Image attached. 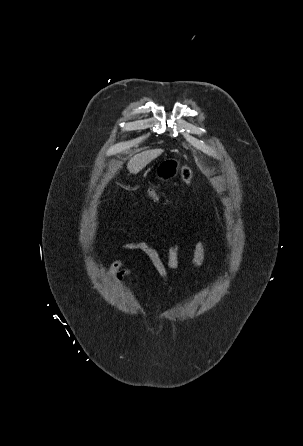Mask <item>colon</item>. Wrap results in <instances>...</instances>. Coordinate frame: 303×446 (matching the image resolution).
<instances>
[{"label":"colon","instance_id":"1","mask_svg":"<svg viewBox=\"0 0 303 446\" xmlns=\"http://www.w3.org/2000/svg\"><path fill=\"white\" fill-rule=\"evenodd\" d=\"M180 176L186 183H188V184H192L193 183V178H194L193 177V173H192V171L189 168L182 167L180 169ZM161 192L162 191H161L160 187L158 185H156V186H153L151 188V190L149 191L148 196L151 199H156L158 196H160Z\"/></svg>","mask_w":303,"mask_h":446}]
</instances>
